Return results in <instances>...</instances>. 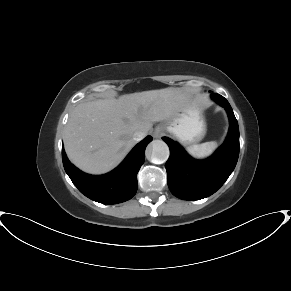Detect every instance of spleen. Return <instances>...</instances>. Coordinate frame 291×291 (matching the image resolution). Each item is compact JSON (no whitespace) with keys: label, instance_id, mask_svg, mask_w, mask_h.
I'll list each match as a JSON object with an SVG mask.
<instances>
[{"label":"spleen","instance_id":"3e777b00","mask_svg":"<svg viewBox=\"0 0 291 291\" xmlns=\"http://www.w3.org/2000/svg\"><path fill=\"white\" fill-rule=\"evenodd\" d=\"M217 148V142H205L202 144H194L187 148V152L195 158H206Z\"/></svg>","mask_w":291,"mask_h":291}]
</instances>
